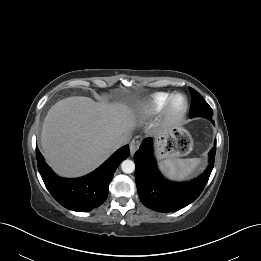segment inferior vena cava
<instances>
[{"mask_svg":"<svg viewBox=\"0 0 261 261\" xmlns=\"http://www.w3.org/2000/svg\"><path fill=\"white\" fill-rule=\"evenodd\" d=\"M130 138L131 136L129 134H124L119 140V145L126 144L130 141Z\"/></svg>","mask_w":261,"mask_h":261,"instance_id":"1","label":"inferior vena cava"}]
</instances>
